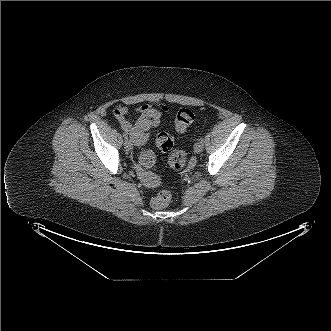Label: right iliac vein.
Here are the masks:
<instances>
[{"label": "right iliac vein", "instance_id": "obj_1", "mask_svg": "<svg viewBox=\"0 0 331 331\" xmlns=\"http://www.w3.org/2000/svg\"><path fill=\"white\" fill-rule=\"evenodd\" d=\"M124 148L129 151L132 149V143L129 139H125L124 141Z\"/></svg>", "mask_w": 331, "mask_h": 331}]
</instances>
